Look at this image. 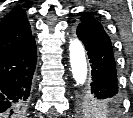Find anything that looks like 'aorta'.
Segmentation results:
<instances>
[{"instance_id": "762f6f07", "label": "aorta", "mask_w": 133, "mask_h": 118, "mask_svg": "<svg viewBox=\"0 0 133 118\" xmlns=\"http://www.w3.org/2000/svg\"><path fill=\"white\" fill-rule=\"evenodd\" d=\"M70 65L73 78L78 86L87 82L88 68L83 44L78 39L69 42Z\"/></svg>"}]
</instances>
